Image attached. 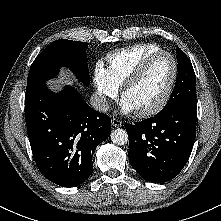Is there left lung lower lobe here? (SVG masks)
<instances>
[{
  "label": "left lung lower lobe",
  "mask_w": 221,
  "mask_h": 221,
  "mask_svg": "<svg viewBox=\"0 0 221 221\" xmlns=\"http://www.w3.org/2000/svg\"><path fill=\"white\" fill-rule=\"evenodd\" d=\"M196 120V103H183L166 113L127 124L131 166L146 181L173 179L191 154Z\"/></svg>",
  "instance_id": "1"
}]
</instances>
